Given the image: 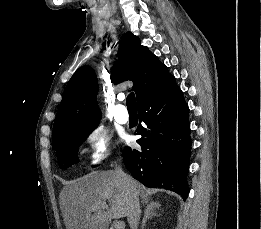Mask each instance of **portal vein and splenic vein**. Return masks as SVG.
I'll list each match as a JSON object with an SVG mask.
<instances>
[{
  "label": "portal vein and splenic vein",
  "mask_w": 261,
  "mask_h": 229,
  "mask_svg": "<svg viewBox=\"0 0 261 229\" xmlns=\"http://www.w3.org/2000/svg\"><path fill=\"white\" fill-rule=\"evenodd\" d=\"M124 227L123 221H117L115 229H124Z\"/></svg>",
  "instance_id": "obj_1"
}]
</instances>
